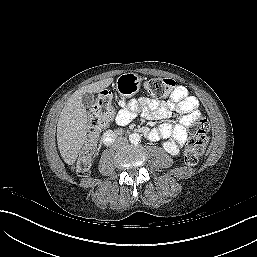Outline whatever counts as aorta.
Returning a JSON list of instances; mask_svg holds the SVG:
<instances>
[{
    "label": "aorta",
    "instance_id": "aorta-1",
    "mask_svg": "<svg viewBox=\"0 0 257 257\" xmlns=\"http://www.w3.org/2000/svg\"><path fill=\"white\" fill-rule=\"evenodd\" d=\"M140 138L141 137L138 133H132L129 135V141L135 145H137L140 142Z\"/></svg>",
    "mask_w": 257,
    "mask_h": 257
}]
</instances>
